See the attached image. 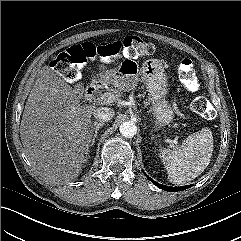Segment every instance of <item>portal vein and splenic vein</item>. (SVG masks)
I'll use <instances>...</instances> for the list:
<instances>
[{"mask_svg": "<svg viewBox=\"0 0 241 241\" xmlns=\"http://www.w3.org/2000/svg\"><path fill=\"white\" fill-rule=\"evenodd\" d=\"M117 98H118L117 95H115L111 92H105V93L101 94L97 98V100L101 103L103 102V103H106V104H110V103L115 102L117 100Z\"/></svg>", "mask_w": 241, "mask_h": 241, "instance_id": "1", "label": "portal vein and splenic vein"}]
</instances>
